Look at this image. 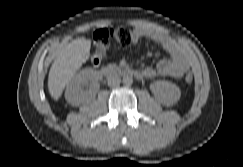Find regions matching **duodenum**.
<instances>
[{"label": "duodenum", "mask_w": 243, "mask_h": 167, "mask_svg": "<svg viewBox=\"0 0 243 167\" xmlns=\"http://www.w3.org/2000/svg\"><path fill=\"white\" fill-rule=\"evenodd\" d=\"M101 73L107 77H115L118 75L131 76L137 79H142L144 77L143 72L140 70L117 65H107L101 68Z\"/></svg>", "instance_id": "obj_1"}]
</instances>
